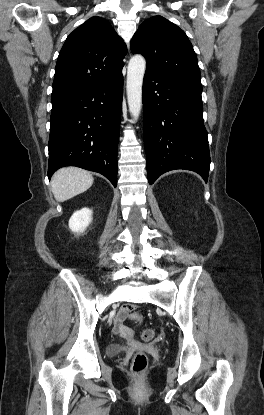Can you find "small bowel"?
Masks as SVG:
<instances>
[{
    "label": "small bowel",
    "mask_w": 264,
    "mask_h": 415,
    "mask_svg": "<svg viewBox=\"0 0 264 415\" xmlns=\"http://www.w3.org/2000/svg\"><path fill=\"white\" fill-rule=\"evenodd\" d=\"M128 313L129 309L123 306L113 318V332L118 336L126 337L129 335L128 329L124 324Z\"/></svg>",
    "instance_id": "small-bowel-1"
}]
</instances>
